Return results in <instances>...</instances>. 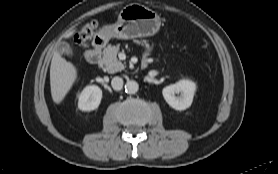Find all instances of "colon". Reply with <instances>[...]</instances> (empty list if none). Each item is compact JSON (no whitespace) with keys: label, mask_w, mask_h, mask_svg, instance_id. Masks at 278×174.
I'll use <instances>...</instances> for the list:
<instances>
[{"label":"colon","mask_w":278,"mask_h":174,"mask_svg":"<svg viewBox=\"0 0 278 174\" xmlns=\"http://www.w3.org/2000/svg\"><path fill=\"white\" fill-rule=\"evenodd\" d=\"M96 27L97 24L95 22L85 24L77 35V41L79 43H85L87 40L91 38V36L96 30Z\"/></svg>","instance_id":"obj_1"}]
</instances>
